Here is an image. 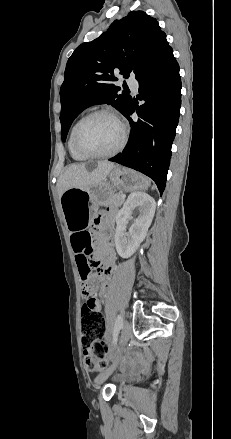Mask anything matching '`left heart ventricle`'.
Segmentation results:
<instances>
[{
	"label": "left heart ventricle",
	"mask_w": 231,
	"mask_h": 439,
	"mask_svg": "<svg viewBox=\"0 0 231 439\" xmlns=\"http://www.w3.org/2000/svg\"><path fill=\"white\" fill-rule=\"evenodd\" d=\"M79 143L90 153H107L121 140V127L110 117L99 116L87 122L79 133Z\"/></svg>",
	"instance_id": "1"
}]
</instances>
